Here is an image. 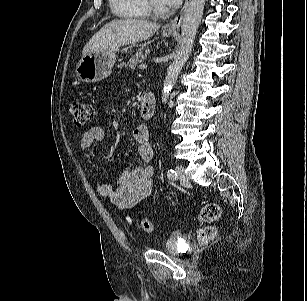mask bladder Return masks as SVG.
<instances>
[{"label": "bladder", "instance_id": "obj_1", "mask_svg": "<svg viewBox=\"0 0 307 301\" xmlns=\"http://www.w3.org/2000/svg\"><path fill=\"white\" fill-rule=\"evenodd\" d=\"M162 248L170 254H178L180 251V246L178 242V236L176 234H171L163 243Z\"/></svg>", "mask_w": 307, "mask_h": 301}]
</instances>
